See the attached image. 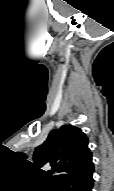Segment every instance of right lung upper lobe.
<instances>
[{
	"instance_id": "1",
	"label": "right lung upper lobe",
	"mask_w": 114,
	"mask_h": 191,
	"mask_svg": "<svg viewBox=\"0 0 114 191\" xmlns=\"http://www.w3.org/2000/svg\"><path fill=\"white\" fill-rule=\"evenodd\" d=\"M88 142L81 129L63 125L60 129L50 132L46 141L36 147L33 166L40 173L51 176L56 185H60L70 177L94 169ZM20 155L23 159L26 158L23 153ZM42 167H50L51 171L46 173L41 169Z\"/></svg>"
}]
</instances>
